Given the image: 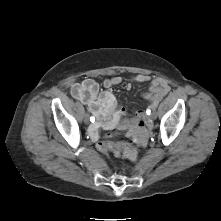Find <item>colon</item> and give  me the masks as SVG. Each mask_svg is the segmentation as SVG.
I'll return each mask as SVG.
<instances>
[{
    "instance_id": "1",
    "label": "colon",
    "mask_w": 221,
    "mask_h": 221,
    "mask_svg": "<svg viewBox=\"0 0 221 221\" xmlns=\"http://www.w3.org/2000/svg\"><path fill=\"white\" fill-rule=\"evenodd\" d=\"M141 122H134L130 130L131 142H107L100 141L97 148L102 153H113L115 156H123L129 160L137 159L136 145L143 146L146 143L145 133L141 129Z\"/></svg>"
}]
</instances>
